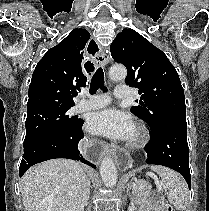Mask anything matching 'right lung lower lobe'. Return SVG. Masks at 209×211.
Listing matches in <instances>:
<instances>
[{
    "instance_id": "right-lung-lower-lobe-1",
    "label": "right lung lower lobe",
    "mask_w": 209,
    "mask_h": 211,
    "mask_svg": "<svg viewBox=\"0 0 209 211\" xmlns=\"http://www.w3.org/2000/svg\"><path fill=\"white\" fill-rule=\"evenodd\" d=\"M84 121L69 130L55 133L31 146L24 151L23 159L19 168L20 177L30 168V166L55 158H68L80 160L81 162L96 168L83 158L78 150V143L84 137L82 125Z\"/></svg>"
}]
</instances>
